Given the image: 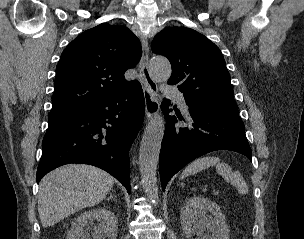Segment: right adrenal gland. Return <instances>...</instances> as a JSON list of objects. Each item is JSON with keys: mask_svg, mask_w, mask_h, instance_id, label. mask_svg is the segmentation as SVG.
Here are the masks:
<instances>
[{"mask_svg": "<svg viewBox=\"0 0 304 239\" xmlns=\"http://www.w3.org/2000/svg\"><path fill=\"white\" fill-rule=\"evenodd\" d=\"M109 199H113V200L117 201V199L114 198L112 194L110 195Z\"/></svg>", "mask_w": 304, "mask_h": 239, "instance_id": "2a0ac1e0", "label": "right adrenal gland"}]
</instances>
